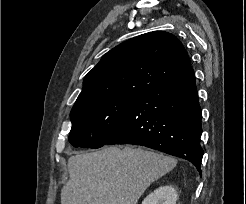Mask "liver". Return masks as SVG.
Returning <instances> with one entry per match:
<instances>
[{
    "label": "liver",
    "mask_w": 246,
    "mask_h": 204,
    "mask_svg": "<svg viewBox=\"0 0 246 204\" xmlns=\"http://www.w3.org/2000/svg\"><path fill=\"white\" fill-rule=\"evenodd\" d=\"M176 164L171 156L131 146L71 156L61 204H137L149 185Z\"/></svg>",
    "instance_id": "liver-1"
}]
</instances>
